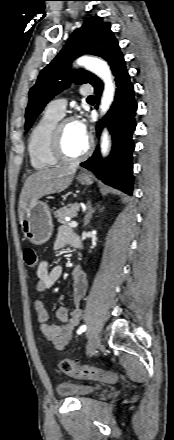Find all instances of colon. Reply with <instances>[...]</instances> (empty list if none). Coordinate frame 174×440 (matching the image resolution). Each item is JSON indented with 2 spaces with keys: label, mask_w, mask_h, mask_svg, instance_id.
Wrapping results in <instances>:
<instances>
[{
  "label": "colon",
  "mask_w": 174,
  "mask_h": 440,
  "mask_svg": "<svg viewBox=\"0 0 174 440\" xmlns=\"http://www.w3.org/2000/svg\"><path fill=\"white\" fill-rule=\"evenodd\" d=\"M23 257L26 265L31 269L38 268V258L36 252L32 248H25ZM59 369L71 376L78 378L92 379L105 383H114L117 380L115 373L100 370L97 368L79 365L70 359H62L59 363Z\"/></svg>",
  "instance_id": "obj_1"
}]
</instances>
